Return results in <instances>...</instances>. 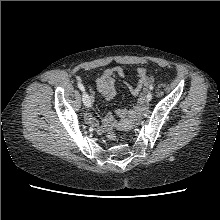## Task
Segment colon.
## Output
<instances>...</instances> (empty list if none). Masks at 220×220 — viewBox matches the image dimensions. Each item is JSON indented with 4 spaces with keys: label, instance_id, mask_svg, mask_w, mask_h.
<instances>
[{
    "label": "colon",
    "instance_id": "1",
    "mask_svg": "<svg viewBox=\"0 0 220 220\" xmlns=\"http://www.w3.org/2000/svg\"><path fill=\"white\" fill-rule=\"evenodd\" d=\"M116 132L113 128L109 129V131L107 132V138L110 141H115L116 140Z\"/></svg>",
    "mask_w": 220,
    "mask_h": 220
}]
</instances>
